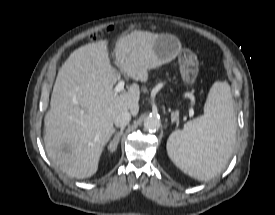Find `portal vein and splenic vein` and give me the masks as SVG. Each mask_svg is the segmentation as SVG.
Wrapping results in <instances>:
<instances>
[{
    "label": "portal vein and splenic vein",
    "mask_w": 275,
    "mask_h": 215,
    "mask_svg": "<svg viewBox=\"0 0 275 215\" xmlns=\"http://www.w3.org/2000/svg\"><path fill=\"white\" fill-rule=\"evenodd\" d=\"M124 84H125L124 81H119L114 88L115 93L121 92L124 89Z\"/></svg>",
    "instance_id": "18ae733b"
}]
</instances>
